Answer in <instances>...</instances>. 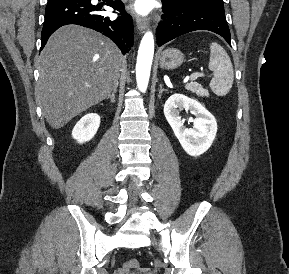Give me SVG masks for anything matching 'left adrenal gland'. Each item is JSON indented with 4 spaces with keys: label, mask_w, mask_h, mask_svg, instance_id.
<instances>
[{
    "label": "left adrenal gland",
    "mask_w": 289,
    "mask_h": 274,
    "mask_svg": "<svg viewBox=\"0 0 289 274\" xmlns=\"http://www.w3.org/2000/svg\"><path fill=\"white\" fill-rule=\"evenodd\" d=\"M163 91H166V90L163 89L162 88V84H160L159 95H158L159 98H161V95H162Z\"/></svg>",
    "instance_id": "left-adrenal-gland-1"
}]
</instances>
